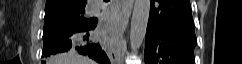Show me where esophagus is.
Masks as SVG:
<instances>
[{"instance_id": "34e87169", "label": "esophagus", "mask_w": 242, "mask_h": 64, "mask_svg": "<svg viewBox=\"0 0 242 64\" xmlns=\"http://www.w3.org/2000/svg\"><path fill=\"white\" fill-rule=\"evenodd\" d=\"M133 0L122 1L121 32L126 30L132 12Z\"/></svg>"}]
</instances>
